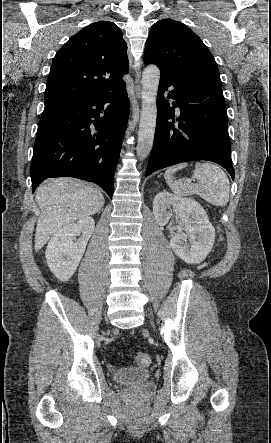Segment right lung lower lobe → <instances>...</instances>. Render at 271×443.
Masks as SVG:
<instances>
[{"instance_id":"obj_1","label":"right lung lower lobe","mask_w":271,"mask_h":443,"mask_svg":"<svg viewBox=\"0 0 271 443\" xmlns=\"http://www.w3.org/2000/svg\"><path fill=\"white\" fill-rule=\"evenodd\" d=\"M129 112L125 86L45 105L30 169L33 192L46 178L68 176L94 182L112 198Z\"/></svg>"}]
</instances>
